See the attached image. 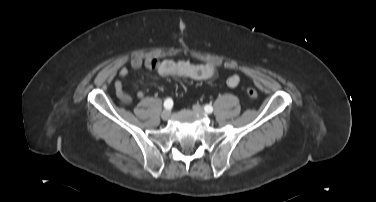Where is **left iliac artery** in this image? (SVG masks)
<instances>
[{
  "label": "left iliac artery",
  "instance_id": "1",
  "mask_svg": "<svg viewBox=\"0 0 376 202\" xmlns=\"http://www.w3.org/2000/svg\"><path fill=\"white\" fill-rule=\"evenodd\" d=\"M204 110L207 113H212L213 112V107L211 105H205Z\"/></svg>",
  "mask_w": 376,
  "mask_h": 202
}]
</instances>
